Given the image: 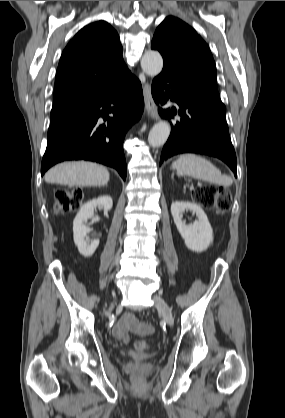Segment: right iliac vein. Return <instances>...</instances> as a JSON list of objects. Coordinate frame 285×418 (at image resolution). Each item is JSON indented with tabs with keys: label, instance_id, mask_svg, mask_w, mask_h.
<instances>
[{
	"label": "right iliac vein",
	"instance_id": "right-iliac-vein-1",
	"mask_svg": "<svg viewBox=\"0 0 285 418\" xmlns=\"http://www.w3.org/2000/svg\"><path fill=\"white\" fill-rule=\"evenodd\" d=\"M116 304H117V302L114 301L113 304H112V306H111V309H113Z\"/></svg>",
	"mask_w": 285,
	"mask_h": 418
}]
</instances>
